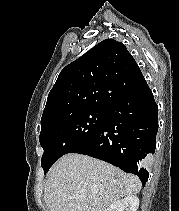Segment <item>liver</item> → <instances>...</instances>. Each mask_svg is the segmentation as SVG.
<instances>
[{"instance_id": "6515ba94", "label": "liver", "mask_w": 179, "mask_h": 211, "mask_svg": "<svg viewBox=\"0 0 179 211\" xmlns=\"http://www.w3.org/2000/svg\"><path fill=\"white\" fill-rule=\"evenodd\" d=\"M140 190L137 176L96 158L70 153L49 170L44 201L50 211H106L115 201Z\"/></svg>"}]
</instances>
